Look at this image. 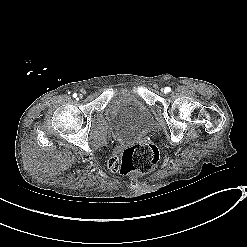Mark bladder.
<instances>
[{
    "label": "bladder",
    "mask_w": 247,
    "mask_h": 247,
    "mask_svg": "<svg viewBox=\"0 0 247 247\" xmlns=\"http://www.w3.org/2000/svg\"><path fill=\"white\" fill-rule=\"evenodd\" d=\"M113 128V139L119 143L141 142L155 129L152 108L137 94L115 95L104 108Z\"/></svg>",
    "instance_id": "obj_1"
}]
</instances>
